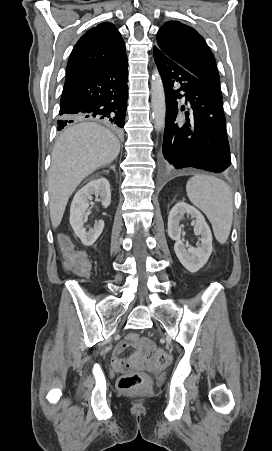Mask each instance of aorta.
<instances>
[{
    "label": "aorta",
    "instance_id": "obj_1",
    "mask_svg": "<svg viewBox=\"0 0 272 451\" xmlns=\"http://www.w3.org/2000/svg\"><path fill=\"white\" fill-rule=\"evenodd\" d=\"M151 106L155 130L162 132L165 128L166 104L163 82L158 70L151 76Z\"/></svg>",
    "mask_w": 272,
    "mask_h": 451
}]
</instances>
